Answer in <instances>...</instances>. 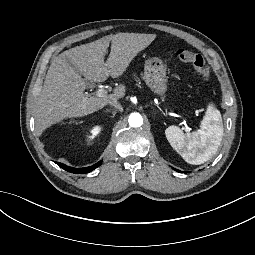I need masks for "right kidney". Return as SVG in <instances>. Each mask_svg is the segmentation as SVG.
I'll return each mask as SVG.
<instances>
[{
  "label": "right kidney",
  "instance_id": "ca27d5eb",
  "mask_svg": "<svg viewBox=\"0 0 255 255\" xmlns=\"http://www.w3.org/2000/svg\"><path fill=\"white\" fill-rule=\"evenodd\" d=\"M100 130H101V127L98 125L92 127V129L90 130L91 135L87 136V140L90 141L94 139L99 134Z\"/></svg>",
  "mask_w": 255,
  "mask_h": 255
}]
</instances>
